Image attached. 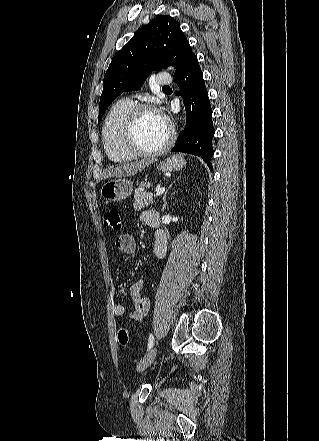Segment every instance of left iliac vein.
Instances as JSON below:
<instances>
[{"instance_id": "1", "label": "left iliac vein", "mask_w": 319, "mask_h": 441, "mask_svg": "<svg viewBox=\"0 0 319 441\" xmlns=\"http://www.w3.org/2000/svg\"><path fill=\"white\" fill-rule=\"evenodd\" d=\"M157 354V347L154 346L150 349V351L140 360V362L137 365V370L138 371H143L145 370L147 367H149Z\"/></svg>"}]
</instances>
